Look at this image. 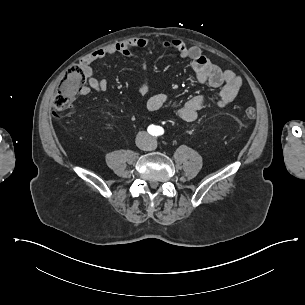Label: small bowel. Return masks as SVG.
<instances>
[{
  "mask_svg": "<svg viewBox=\"0 0 305 305\" xmlns=\"http://www.w3.org/2000/svg\"><path fill=\"white\" fill-rule=\"evenodd\" d=\"M149 44L146 37H135L125 41L97 49L86 55L80 62V70L82 71L86 85L80 89L82 96H87L92 90L100 94H104L109 87L106 79H98L94 75L92 63L101 60L107 56L121 54L126 57H135L133 50L145 48ZM160 48L173 49L182 57L187 58L191 62L192 69L199 82L207 83L212 87H220L218 98L214 105L219 108L229 106L237 96L242 81L239 76L230 70H224L210 61L197 46H189L179 39L164 41L160 43ZM141 67L144 72L149 69V63L146 59L141 60ZM149 91V82L147 77L141 83L138 92L144 96ZM172 99L165 91L150 96L146 102V108L149 111H156L163 107L170 106ZM211 102L202 96H195L188 99L177 110L178 117L187 122L192 123L197 120L199 112L210 107Z\"/></svg>",
  "mask_w": 305,
  "mask_h": 305,
  "instance_id": "1",
  "label": "small bowel"
}]
</instances>
